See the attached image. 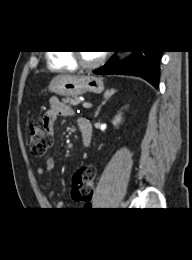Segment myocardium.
Listing matches in <instances>:
<instances>
[{
  "mask_svg": "<svg viewBox=\"0 0 192 260\" xmlns=\"http://www.w3.org/2000/svg\"><path fill=\"white\" fill-rule=\"evenodd\" d=\"M70 55L77 66L84 68V69H94L101 65L103 61L105 60V54H101L95 61L93 62H87L83 59L81 53L79 51H72L70 52Z\"/></svg>",
  "mask_w": 192,
  "mask_h": 260,
  "instance_id": "myocardium-1",
  "label": "myocardium"
}]
</instances>
